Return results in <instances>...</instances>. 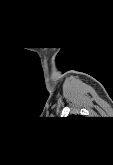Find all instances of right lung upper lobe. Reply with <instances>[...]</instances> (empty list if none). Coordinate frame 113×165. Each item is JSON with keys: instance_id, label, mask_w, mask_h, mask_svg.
Segmentation results:
<instances>
[{"instance_id": "obj_1", "label": "right lung upper lobe", "mask_w": 113, "mask_h": 165, "mask_svg": "<svg viewBox=\"0 0 113 165\" xmlns=\"http://www.w3.org/2000/svg\"><path fill=\"white\" fill-rule=\"evenodd\" d=\"M71 117H81V116H74V115H73V116H71Z\"/></svg>"}]
</instances>
